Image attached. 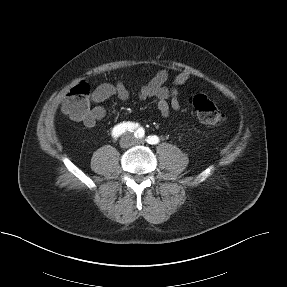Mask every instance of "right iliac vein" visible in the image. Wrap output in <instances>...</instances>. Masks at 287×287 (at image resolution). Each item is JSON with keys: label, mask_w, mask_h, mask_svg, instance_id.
Listing matches in <instances>:
<instances>
[{"label": "right iliac vein", "mask_w": 287, "mask_h": 287, "mask_svg": "<svg viewBox=\"0 0 287 287\" xmlns=\"http://www.w3.org/2000/svg\"><path fill=\"white\" fill-rule=\"evenodd\" d=\"M131 143H132V137L129 134L122 137V139L120 140V145L123 148L130 146Z\"/></svg>", "instance_id": "obj_1"}]
</instances>
